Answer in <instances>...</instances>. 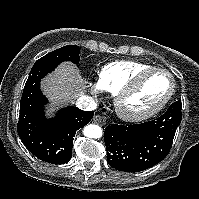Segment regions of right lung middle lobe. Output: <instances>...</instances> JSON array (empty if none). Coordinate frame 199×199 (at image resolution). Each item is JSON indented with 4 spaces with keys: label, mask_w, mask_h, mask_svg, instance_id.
I'll return each mask as SVG.
<instances>
[{
    "label": "right lung middle lobe",
    "mask_w": 199,
    "mask_h": 199,
    "mask_svg": "<svg viewBox=\"0 0 199 199\" xmlns=\"http://www.w3.org/2000/svg\"><path fill=\"white\" fill-rule=\"evenodd\" d=\"M63 61H72L79 63V47L75 45H68L57 50H54L42 58L38 59L33 67L44 64H59Z\"/></svg>",
    "instance_id": "dd1d6c3e"
}]
</instances>
